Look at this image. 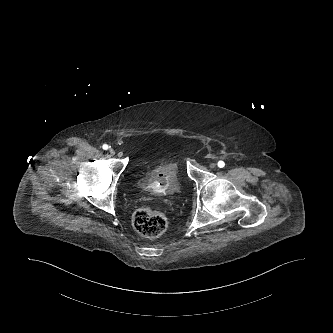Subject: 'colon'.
<instances>
[{
	"mask_svg": "<svg viewBox=\"0 0 333 333\" xmlns=\"http://www.w3.org/2000/svg\"><path fill=\"white\" fill-rule=\"evenodd\" d=\"M133 226L141 235L155 238L163 234L167 228L168 220L159 211L142 208L133 215Z\"/></svg>",
	"mask_w": 333,
	"mask_h": 333,
	"instance_id": "colon-1",
	"label": "colon"
}]
</instances>
